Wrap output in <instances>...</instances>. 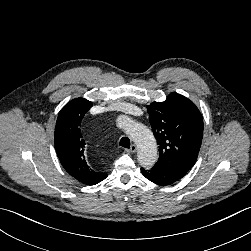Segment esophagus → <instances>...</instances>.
<instances>
[{"mask_svg":"<svg viewBox=\"0 0 251 251\" xmlns=\"http://www.w3.org/2000/svg\"><path fill=\"white\" fill-rule=\"evenodd\" d=\"M128 153H135L137 151V146L135 144H132L129 149H126Z\"/></svg>","mask_w":251,"mask_h":251,"instance_id":"34e87169","label":"esophagus"}]
</instances>
